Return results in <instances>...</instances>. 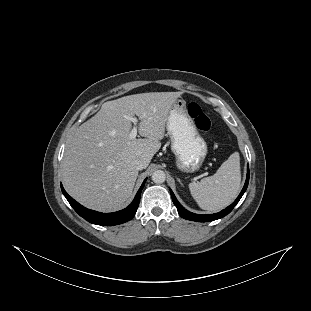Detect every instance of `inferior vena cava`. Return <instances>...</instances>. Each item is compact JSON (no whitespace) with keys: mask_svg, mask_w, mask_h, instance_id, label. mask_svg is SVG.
<instances>
[{"mask_svg":"<svg viewBox=\"0 0 311 311\" xmlns=\"http://www.w3.org/2000/svg\"><path fill=\"white\" fill-rule=\"evenodd\" d=\"M132 166H134L137 170L145 169V162L141 158H137L133 160Z\"/></svg>","mask_w":311,"mask_h":311,"instance_id":"602c4592","label":"inferior vena cava"}]
</instances>
